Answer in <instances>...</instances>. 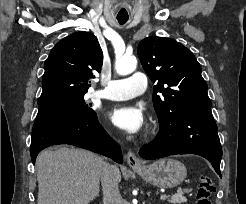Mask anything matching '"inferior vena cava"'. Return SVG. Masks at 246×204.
<instances>
[{"label": "inferior vena cava", "instance_id": "inferior-vena-cava-1", "mask_svg": "<svg viewBox=\"0 0 246 204\" xmlns=\"http://www.w3.org/2000/svg\"><path fill=\"white\" fill-rule=\"evenodd\" d=\"M116 171V166L103 162L101 173L103 204H120L121 202L118 181L116 179Z\"/></svg>", "mask_w": 246, "mask_h": 204}]
</instances>
